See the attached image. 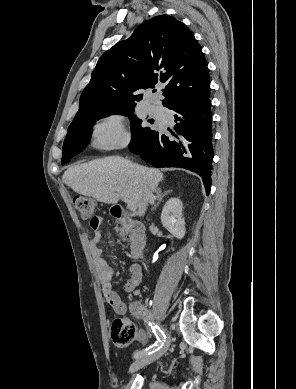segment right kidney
I'll use <instances>...</instances> for the list:
<instances>
[{"label": "right kidney", "instance_id": "ca27d5eb", "mask_svg": "<svg viewBox=\"0 0 296 389\" xmlns=\"http://www.w3.org/2000/svg\"><path fill=\"white\" fill-rule=\"evenodd\" d=\"M182 209V201L179 198L173 197L165 203L161 213L162 225L178 239H182L186 233Z\"/></svg>", "mask_w": 296, "mask_h": 389}]
</instances>
